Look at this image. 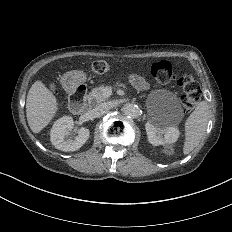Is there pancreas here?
<instances>
[{
    "label": "pancreas",
    "instance_id": "obj_1",
    "mask_svg": "<svg viewBox=\"0 0 232 232\" xmlns=\"http://www.w3.org/2000/svg\"><path fill=\"white\" fill-rule=\"evenodd\" d=\"M119 82H116V84ZM110 88L109 85H101L99 87H96L92 89L88 94V102L91 107H93L94 104H99L102 101L106 100L107 97L105 95L106 90Z\"/></svg>",
    "mask_w": 232,
    "mask_h": 232
}]
</instances>
